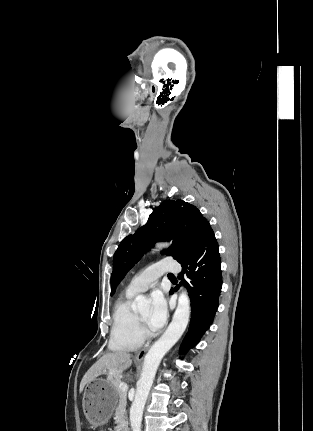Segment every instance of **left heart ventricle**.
Listing matches in <instances>:
<instances>
[{"label": "left heart ventricle", "mask_w": 313, "mask_h": 431, "mask_svg": "<svg viewBox=\"0 0 313 431\" xmlns=\"http://www.w3.org/2000/svg\"><path fill=\"white\" fill-rule=\"evenodd\" d=\"M149 313H150V310H149V309H145V310H143V311H141V312L139 313L140 317L143 319V321H144L146 324H147V321H148Z\"/></svg>", "instance_id": "obj_1"}]
</instances>
